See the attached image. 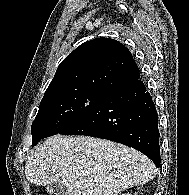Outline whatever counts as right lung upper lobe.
<instances>
[{"label":"right lung upper lobe","instance_id":"right-lung-upper-lobe-1","mask_svg":"<svg viewBox=\"0 0 189 195\" xmlns=\"http://www.w3.org/2000/svg\"><path fill=\"white\" fill-rule=\"evenodd\" d=\"M138 78L130 51L119 41L101 37L83 43L60 63L45 95L76 88L112 92Z\"/></svg>","mask_w":189,"mask_h":195}]
</instances>
